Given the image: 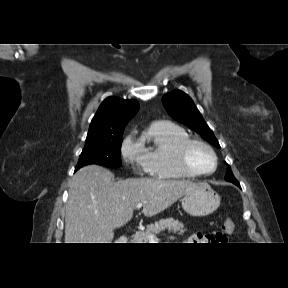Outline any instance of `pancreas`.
<instances>
[{"label": "pancreas", "instance_id": "obj_1", "mask_svg": "<svg viewBox=\"0 0 288 288\" xmlns=\"http://www.w3.org/2000/svg\"><path fill=\"white\" fill-rule=\"evenodd\" d=\"M184 225L174 218L161 219L153 224L147 226L145 231H138L133 236L134 243H148L149 236L152 234L160 233L167 229L168 232L178 233L182 235L184 233Z\"/></svg>", "mask_w": 288, "mask_h": 288}]
</instances>
